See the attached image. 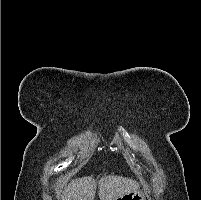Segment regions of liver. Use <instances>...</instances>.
<instances>
[{"label":"liver","instance_id":"6515ba94","mask_svg":"<svg viewBox=\"0 0 201 200\" xmlns=\"http://www.w3.org/2000/svg\"><path fill=\"white\" fill-rule=\"evenodd\" d=\"M97 185L100 200H116L139 188L135 180L114 174L105 175L99 180H95L92 176L82 177L72 180L62 191L61 200H94Z\"/></svg>","mask_w":201,"mask_h":200}]
</instances>
